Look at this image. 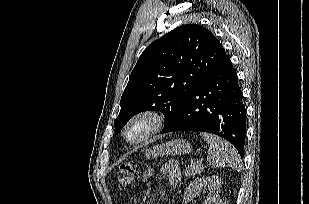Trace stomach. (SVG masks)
<instances>
[{"instance_id":"stomach-1","label":"stomach","mask_w":309,"mask_h":204,"mask_svg":"<svg viewBox=\"0 0 309 204\" xmlns=\"http://www.w3.org/2000/svg\"><path fill=\"white\" fill-rule=\"evenodd\" d=\"M190 151L191 145L189 142L176 139L151 147L146 151L145 155L148 158H154L163 155H184Z\"/></svg>"}]
</instances>
